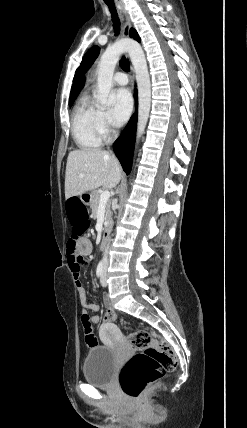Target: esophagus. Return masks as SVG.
<instances>
[{"label":"esophagus","mask_w":247,"mask_h":428,"mask_svg":"<svg viewBox=\"0 0 247 428\" xmlns=\"http://www.w3.org/2000/svg\"><path fill=\"white\" fill-rule=\"evenodd\" d=\"M130 28H131V23H130L129 19L126 17V21H125L124 28H123V33L125 36H127L129 34Z\"/></svg>","instance_id":"34e87169"}]
</instances>
